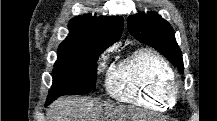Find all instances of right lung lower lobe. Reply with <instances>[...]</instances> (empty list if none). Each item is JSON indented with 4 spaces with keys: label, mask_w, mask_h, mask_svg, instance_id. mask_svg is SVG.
Listing matches in <instances>:
<instances>
[{
    "label": "right lung lower lobe",
    "mask_w": 217,
    "mask_h": 121,
    "mask_svg": "<svg viewBox=\"0 0 217 121\" xmlns=\"http://www.w3.org/2000/svg\"><path fill=\"white\" fill-rule=\"evenodd\" d=\"M51 102H46V104L45 105H48V104H50Z\"/></svg>",
    "instance_id": "obj_1"
}]
</instances>
